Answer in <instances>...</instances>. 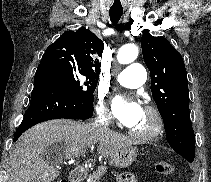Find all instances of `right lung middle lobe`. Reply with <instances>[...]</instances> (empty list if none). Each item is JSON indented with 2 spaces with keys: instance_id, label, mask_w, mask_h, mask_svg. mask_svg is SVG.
I'll use <instances>...</instances> for the list:
<instances>
[{
  "instance_id": "dd1d6c3e",
  "label": "right lung middle lobe",
  "mask_w": 211,
  "mask_h": 182,
  "mask_svg": "<svg viewBox=\"0 0 211 182\" xmlns=\"http://www.w3.org/2000/svg\"><path fill=\"white\" fill-rule=\"evenodd\" d=\"M65 88L71 90L81 101L93 105V93L98 83V78L89 77L84 73L71 68L50 63L44 67Z\"/></svg>"
}]
</instances>
